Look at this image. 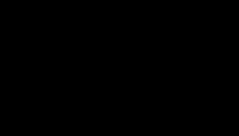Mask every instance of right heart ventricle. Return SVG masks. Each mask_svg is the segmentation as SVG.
Returning a JSON list of instances; mask_svg holds the SVG:
<instances>
[{"instance_id": "1", "label": "right heart ventricle", "mask_w": 239, "mask_h": 136, "mask_svg": "<svg viewBox=\"0 0 239 136\" xmlns=\"http://www.w3.org/2000/svg\"><path fill=\"white\" fill-rule=\"evenodd\" d=\"M156 24L157 23L155 21L148 22L136 28L133 33L125 32L121 34L119 37V43L123 48L129 47L130 45L136 43L137 38H142V36H146L151 33Z\"/></svg>"}]
</instances>
